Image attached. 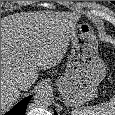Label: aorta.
Segmentation results:
<instances>
[{"label": "aorta", "mask_w": 115, "mask_h": 115, "mask_svg": "<svg viewBox=\"0 0 115 115\" xmlns=\"http://www.w3.org/2000/svg\"><path fill=\"white\" fill-rule=\"evenodd\" d=\"M34 102L39 107L50 106L52 103L51 94L46 89H41L35 94Z\"/></svg>", "instance_id": "762f6f07"}]
</instances>
